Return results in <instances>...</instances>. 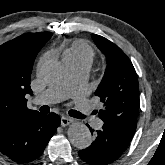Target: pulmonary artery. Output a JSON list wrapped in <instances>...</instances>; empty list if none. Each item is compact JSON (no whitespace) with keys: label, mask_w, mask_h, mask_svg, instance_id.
Returning <instances> with one entry per match:
<instances>
[{"label":"pulmonary artery","mask_w":165,"mask_h":165,"mask_svg":"<svg viewBox=\"0 0 165 165\" xmlns=\"http://www.w3.org/2000/svg\"><path fill=\"white\" fill-rule=\"evenodd\" d=\"M70 78L63 84L53 86L43 92L34 99L36 105H49L64 100L70 94H78L77 108L86 116L91 113V108L88 101L81 95V91L86 82L89 65L87 64H70ZM93 125L96 128L102 126V122L97 118H92Z\"/></svg>","instance_id":"e3ab8cb5"}]
</instances>
